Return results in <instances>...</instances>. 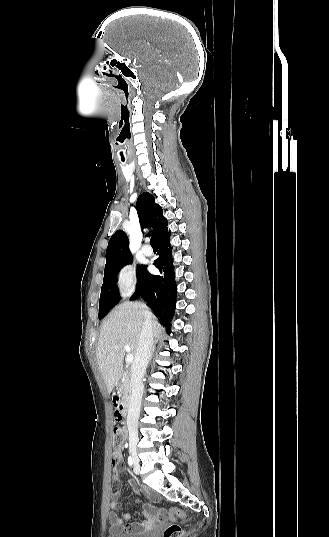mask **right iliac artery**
I'll return each instance as SVG.
<instances>
[{
  "instance_id": "right-iliac-artery-1",
  "label": "right iliac artery",
  "mask_w": 329,
  "mask_h": 537,
  "mask_svg": "<svg viewBox=\"0 0 329 537\" xmlns=\"http://www.w3.org/2000/svg\"><path fill=\"white\" fill-rule=\"evenodd\" d=\"M128 464H129L130 466L133 465V459H132L131 456L128 457Z\"/></svg>"
}]
</instances>
